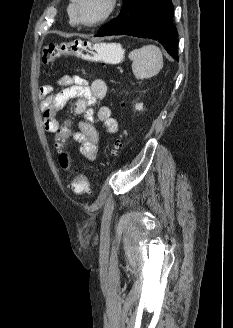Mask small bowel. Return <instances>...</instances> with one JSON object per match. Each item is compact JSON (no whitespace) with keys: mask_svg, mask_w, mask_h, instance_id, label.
Returning a JSON list of instances; mask_svg holds the SVG:
<instances>
[{"mask_svg":"<svg viewBox=\"0 0 233 328\" xmlns=\"http://www.w3.org/2000/svg\"><path fill=\"white\" fill-rule=\"evenodd\" d=\"M55 85L62 87V90L53 94ZM55 85L46 84L39 91L46 130L51 133L57 132L60 127L59 110L70 100L75 99L74 113L82 115L83 120L78 123V129L72 132L71 138L80 144V153L86 159L97 160L100 155L99 135L93 124L95 120L93 106L106 97L108 90L106 83L101 79L89 83L79 75H63L58 78ZM96 117L108 133L113 134L118 130V123L107 106H101Z\"/></svg>","mask_w":233,"mask_h":328,"instance_id":"small-bowel-1","label":"small bowel"}]
</instances>
